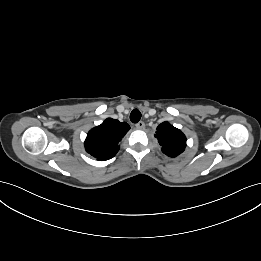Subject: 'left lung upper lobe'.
I'll list each match as a JSON object with an SVG mask.
<instances>
[{
	"mask_svg": "<svg viewBox=\"0 0 261 261\" xmlns=\"http://www.w3.org/2000/svg\"><path fill=\"white\" fill-rule=\"evenodd\" d=\"M155 137L162 147V152L169 157H176L185 150V135L169 122H163L157 127Z\"/></svg>",
	"mask_w": 261,
	"mask_h": 261,
	"instance_id": "left-lung-upper-lobe-1",
	"label": "left lung upper lobe"
}]
</instances>
